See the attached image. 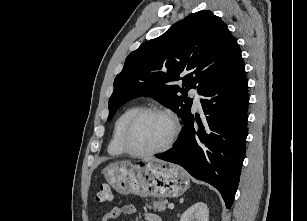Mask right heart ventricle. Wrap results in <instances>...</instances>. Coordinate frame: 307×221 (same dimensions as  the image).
<instances>
[{
  "instance_id": "right-heart-ventricle-1",
  "label": "right heart ventricle",
  "mask_w": 307,
  "mask_h": 221,
  "mask_svg": "<svg viewBox=\"0 0 307 221\" xmlns=\"http://www.w3.org/2000/svg\"><path fill=\"white\" fill-rule=\"evenodd\" d=\"M141 108H143L141 104H135L129 106L126 109H124L117 117L113 126L111 139L108 144V152L111 155L118 156L126 152L121 144L122 131L124 129L125 124L131 118V116Z\"/></svg>"
}]
</instances>
